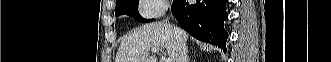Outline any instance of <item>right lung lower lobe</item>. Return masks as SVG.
Masks as SVG:
<instances>
[{
  "instance_id": "obj_1",
  "label": "right lung lower lobe",
  "mask_w": 331,
  "mask_h": 62,
  "mask_svg": "<svg viewBox=\"0 0 331 62\" xmlns=\"http://www.w3.org/2000/svg\"><path fill=\"white\" fill-rule=\"evenodd\" d=\"M228 0H196L188 3L177 0L171 7L180 26L190 35L206 43L226 48L227 32L224 21L228 14L225 10Z\"/></svg>"
}]
</instances>
